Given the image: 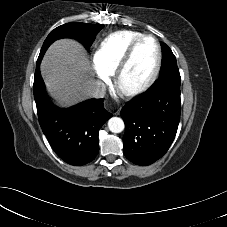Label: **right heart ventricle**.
Returning <instances> with one entry per match:
<instances>
[{
  "mask_svg": "<svg viewBox=\"0 0 227 227\" xmlns=\"http://www.w3.org/2000/svg\"><path fill=\"white\" fill-rule=\"evenodd\" d=\"M142 33L121 30L106 36L95 51V60L109 74H113L129 45Z\"/></svg>",
  "mask_w": 227,
  "mask_h": 227,
  "instance_id": "right-heart-ventricle-1",
  "label": "right heart ventricle"
}]
</instances>
